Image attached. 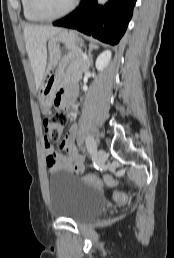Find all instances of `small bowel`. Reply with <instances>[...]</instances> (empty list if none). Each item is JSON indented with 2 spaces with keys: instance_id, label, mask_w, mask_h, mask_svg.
I'll return each mask as SVG.
<instances>
[{
  "instance_id": "c3829d8e",
  "label": "small bowel",
  "mask_w": 174,
  "mask_h": 258,
  "mask_svg": "<svg viewBox=\"0 0 174 258\" xmlns=\"http://www.w3.org/2000/svg\"><path fill=\"white\" fill-rule=\"evenodd\" d=\"M74 95V87L70 86L59 91L54 97L56 106H65L70 108L72 97ZM70 116L74 115V111L69 112ZM77 135V125L73 124L65 138L59 145L60 152L56 151L53 144L46 138L44 141L45 163L50 173L60 170H66L73 174L81 175L85 171V157L77 151L75 146ZM102 179H107V174H102ZM122 179H110V184H122Z\"/></svg>"
}]
</instances>
